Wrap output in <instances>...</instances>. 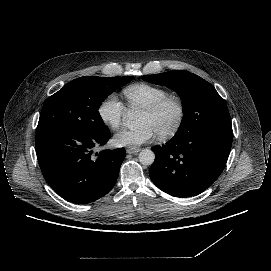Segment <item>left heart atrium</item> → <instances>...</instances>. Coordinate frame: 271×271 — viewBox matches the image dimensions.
<instances>
[{
  "label": "left heart atrium",
  "mask_w": 271,
  "mask_h": 271,
  "mask_svg": "<svg viewBox=\"0 0 271 271\" xmlns=\"http://www.w3.org/2000/svg\"><path fill=\"white\" fill-rule=\"evenodd\" d=\"M155 133L148 125H141L133 131L124 130L114 136V144L117 147L136 149L143 144L151 142Z\"/></svg>",
  "instance_id": "obj_1"
}]
</instances>
